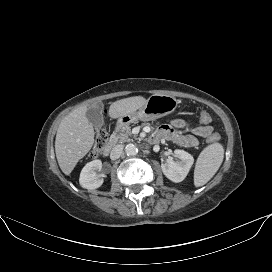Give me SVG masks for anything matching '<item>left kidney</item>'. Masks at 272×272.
<instances>
[{
  "label": "left kidney",
  "mask_w": 272,
  "mask_h": 272,
  "mask_svg": "<svg viewBox=\"0 0 272 272\" xmlns=\"http://www.w3.org/2000/svg\"><path fill=\"white\" fill-rule=\"evenodd\" d=\"M174 155L178 160L174 161L171 157L168 158L166 163L161 164V169L169 180L178 183L187 176L193 165L194 158L191 154L179 149L174 151Z\"/></svg>",
  "instance_id": "1"
}]
</instances>
